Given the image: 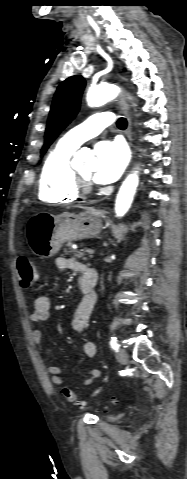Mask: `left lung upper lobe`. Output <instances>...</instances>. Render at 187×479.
Instances as JSON below:
<instances>
[{
  "mask_svg": "<svg viewBox=\"0 0 187 479\" xmlns=\"http://www.w3.org/2000/svg\"><path fill=\"white\" fill-rule=\"evenodd\" d=\"M84 88L85 80L79 75L69 77L59 85L51 106L41 153L46 152L58 134L76 116Z\"/></svg>",
  "mask_w": 187,
  "mask_h": 479,
  "instance_id": "obj_1",
  "label": "left lung upper lobe"
}]
</instances>
